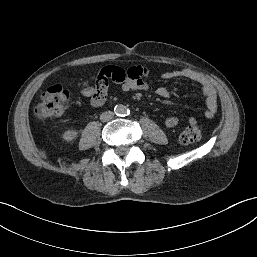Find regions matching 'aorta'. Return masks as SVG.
Returning <instances> with one entry per match:
<instances>
[{
  "label": "aorta",
  "mask_w": 257,
  "mask_h": 257,
  "mask_svg": "<svg viewBox=\"0 0 257 257\" xmlns=\"http://www.w3.org/2000/svg\"><path fill=\"white\" fill-rule=\"evenodd\" d=\"M114 112L118 116H123L127 113V108L125 105L118 104L114 107Z\"/></svg>",
  "instance_id": "aorta-1"
}]
</instances>
